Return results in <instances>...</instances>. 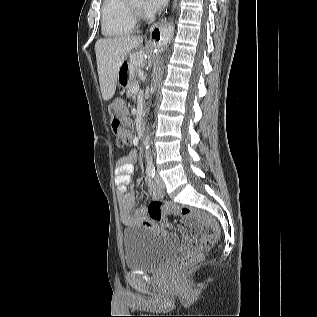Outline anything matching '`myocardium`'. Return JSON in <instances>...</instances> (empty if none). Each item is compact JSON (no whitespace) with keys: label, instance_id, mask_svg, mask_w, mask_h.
<instances>
[{"label":"myocardium","instance_id":"1","mask_svg":"<svg viewBox=\"0 0 317 317\" xmlns=\"http://www.w3.org/2000/svg\"><path fill=\"white\" fill-rule=\"evenodd\" d=\"M130 9H131L136 21L142 20L145 18V15H144L142 8H137V7L133 6L132 3H130Z\"/></svg>","mask_w":317,"mask_h":317}]
</instances>
